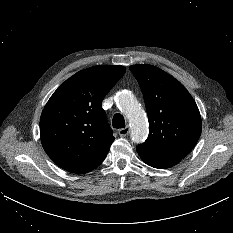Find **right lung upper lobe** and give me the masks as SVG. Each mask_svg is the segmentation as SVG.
Returning <instances> with one entry per match:
<instances>
[{"label":"right lung upper lobe","mask_w":233,"mask_h":233,"mask_svg":"<svg viewBox=\"0 0 233 233\" xmlns=\"http://www.w3.org/2000/svg\"><path fill=\"white\" fill-rule=\"evenodd\" d=\"M124 73L120 65L90 67L53 93L41 115L40 136L59 167L83 174L103 162L114 137L101 102Z\"/></svg>","instance_id":"1"}]
</instances>
